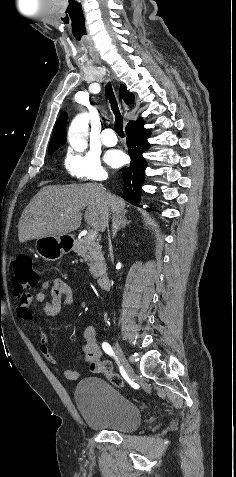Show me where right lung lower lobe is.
Wrapping results in <instances>:
<instances>
[{
	"label": "right lung lower lobe",
	"instance_id": "obj_1",
	"mask_svg": "<svg viewBox=\"0 0 236 477\" xmlns=\"http://www.w3.org/2000/svg\"><path fill=\"white\" fill-rule=\"evenodd\" d=\"M127 145L131 164L127 168L122 169L123 198L138 205L140 199V187L145 180V169L147 162L143 157V153L150 148L147 138L150 133L144 128V123H136L126 127Z\"/></svg>",
	"mask_w": 236,
	"mask_h": 477
}]
</instances>
